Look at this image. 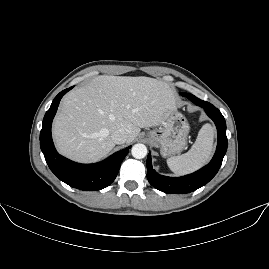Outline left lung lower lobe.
<instances>
[{
    "mask_svg": "<svg viewBox=\"0 0 269 269\" xmlns=\"http://www.w3.org/2000/svg\"><path fill=\"white\" fill-rule=\"evenodd\" d=\"M192 102L204 108L214 121L218 131V144L214 157L208 165L195 173L183 177H167L156 173L152 168L151 155L147 157V179L158 190L171 194L190 193L207 184L218 172L227 151L226 122L221 112L209 102L194 97Z\"/></svg>",
    "mask_w": 269,
    "mask_h": 269,
    "instance_id": "0a47b994",
    "label": "left lung lower lobe"
}]
</instances>
